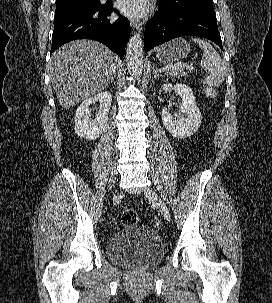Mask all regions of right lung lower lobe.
<instances>
[{"instance_id":"1","label":"right lung lower lobe","mask_w":272,"mask_h":303,"mask_svg":"<svg viewBox=\"0 0 272 303\" xmlns=\"http://www.w3.org/2000/svg\"><path fill=\"white\" fill-rule=\"evenodd\" d=\"M112 12L105 6L99 10H83L55 18L51 53L63 44L75 39H93L105 44L121 58L130 37V23L120 16L115 22L108 19Z\"/></svg>"}]
</instances>
